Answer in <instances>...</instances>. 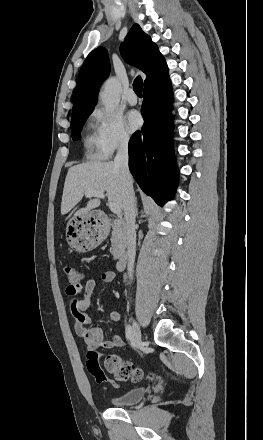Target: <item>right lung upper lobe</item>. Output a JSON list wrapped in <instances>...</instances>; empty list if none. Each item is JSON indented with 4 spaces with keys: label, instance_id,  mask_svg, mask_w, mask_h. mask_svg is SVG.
<instances>
[{
    "label": "right lung upper lobe",
    "instance_id": "1",
    "mask_svg": "<svg viewBox=\"0 0 263 440\" xmlns=\"http://www.w3.org/2000/svg\"><path fill=\"white\" fill-rule=\"evenodd\" d=\"M121 55L146 74L144 88L168 74V67L157 45L135 24L120 47ZM110 72L108 52L104 47L93 50L86 58L73 94L72 117L92 112L97 102V91Z\"/></svg>",
    "mask_w": 263,
    "mask_h": 440
}]
</instances>
